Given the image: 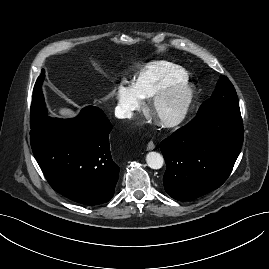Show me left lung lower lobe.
<instances>
[{"instance_id":"left-lung-lower-lobe-1","label":"left lung lower lobe","mask_w":269,"mask_h":269,"mask_svg":"<svg viewBox=\"0 0 269 269\" xmlns=\"http://www.w3.org/2000/svg\"><path fill=\"white\" fill-rule=\"evenodd\" d=\"M242 142L239 106L198 110L188 124L160 144L166 161V192L188 201L217 189L230 175Z\"/></svg>"}]
</instances>
